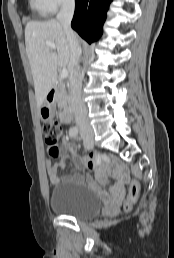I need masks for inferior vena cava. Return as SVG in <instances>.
I'll use <instances>...</instances> for the list:
<instances>
[{"mask_svg":"<svg viewBox=\"0 0 174 258\" xmlns=\"http://www.w3.org/2000/svg\"><path fill=\"white\" fill-rule=\"evenodd\" d=\"M75 10L74 0H64L57 21L62 26L70 48V104L75 116L76 124L81 133H91L92 128L87 118V109L81 98L82 76L79 68V59L82 49L79 45L77 36L71 28V21Z\"/></svg>","mask_w":174,"mask_h":258,"instance_id":"1","label":"inferior vena cava"}]
</instances>
